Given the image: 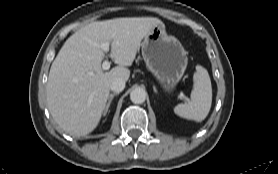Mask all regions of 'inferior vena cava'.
<instances>
[{
	"mask_svg": "<svg viewBox=\"0 0 278 174\" xmlns=\"http://www.w3.org/2000/svg\"><path fill=\"white\" fill-rule=\"evenodd\" d=\"M125 88V81L122 78H115L111 81L110 89L114 92H121Z\"/></svg>",
	"mask_w": 278,
	"mask_h": 174,
	"instance_id": "obj_1",
	"label": "inferior vena cava"
}]
</instances>
